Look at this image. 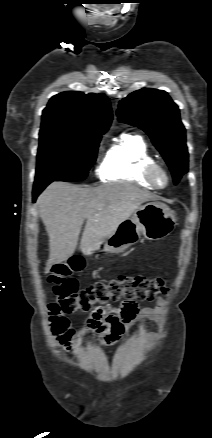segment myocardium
<instances>
[{
  "label": "myocardium",
  "instance_id": "obj_1",
  "mask_svg": "<svg viewBox=\"0 0 212 438\" xmlns=\"http://www.w3.org/2000/svg\"><path fill=\"white\" fill-rule=\"evenodd\" d=\"M159 171H161L166 177V182L163 186L158 185L155 181V175ZM142 175L146 179V181L153 186L154 189L158 190L167 188L171 181V176L168 169L163 164L157 161L148 163L142 170Z\"/></svg>",
  "mask_w": 212,
  "mask_h": 438
}]
</instances>
